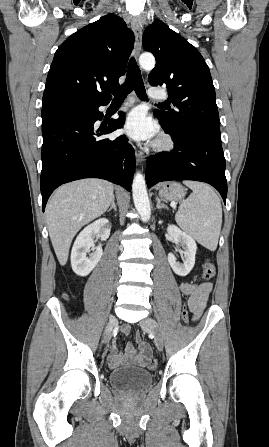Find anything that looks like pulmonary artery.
Here are the masks:
<instances>
[{
    "label": "pulmonary artery",
    "instance_id": "1",
    "mask_svg": "<svg viewBox=\"0 0 269 447\" xmlns=\"http://www.w3.org/2000/svg\"><path fill=\"white\" fill-rule=\"evenodd\" d=\"M148 95L152 98L163 99L165 98L166 93L163 90H156L154 93L151 90H149Z\"/></svg>",
    "mask_w": 269,
    "mask_h": 447
}]
</instances>
